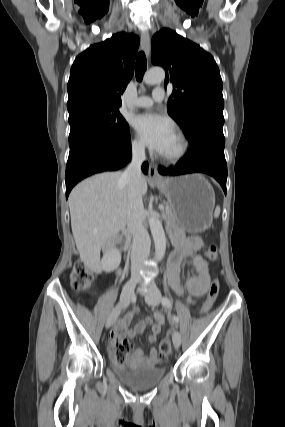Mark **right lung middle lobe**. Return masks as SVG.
<instances>
[{
  "label": "right lung middle lobe",
  "mask_w": 285,
  "mask_h": 427,
  "mask_svg": "<svg viewBox=\"0 0 285 427\" xmlns=\"http://www.w3.org/2000/svg\"><path fill=\"white\" fill-rule=\"evenodd\" d=\"M69 145L85 134L97 133L113 140H123L129 126L116 107H90L69 115Z\"/></svg>",
  "instance_id": "right-lung-middle-lobe-1"
}]
</instances>
